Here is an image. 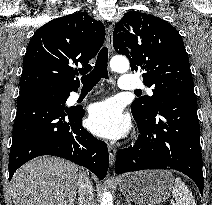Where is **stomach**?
I'll list each match as a JSON object with an SVG mask.
<instances>
[{
    "instance_id": "1",
    "label": "stomach",
    "mask_w": 212,
    "mask_h": 205,
    "mask_svg": "<svg viewBox=\"0 0 212 205\" xmlns=\"http://www.w3.org/2000/svg\"><path fill=\"white\" fill-rule=\"evenodd\" d=\"M120 191L138 205H155L170 197L173 176L167 170H148L129 173L118 179Z\"/></svg>"
}]
</instances>
